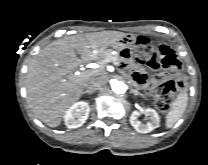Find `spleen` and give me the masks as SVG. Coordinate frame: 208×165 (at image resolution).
<instances>
[{"label": "spleen", "instance_id": "obj_1", "mask_svg": "<svg viewBox=\"0 0 208 165\" xmlns=\"http://www.w3.org/2000/svg\"><path fill=\"white\" fill-rule=\"evenodd\" d=\"M188 103V94L186 91L181 92L174 101L170 111L166 115V127H173L182 117Z\"/></svg>", "mask_w": 208, "mask_h": 165}]
</instances>
